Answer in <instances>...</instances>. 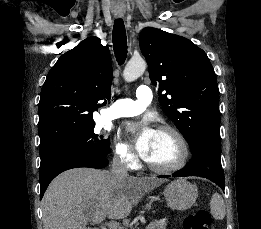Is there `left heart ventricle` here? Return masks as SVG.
Instances as JSON below:
<instances>
[{
	"label": "left heart ventricle",
	"instance_id": "left-heart-ventricle-1",
	"mask_svg": "<svg viewBox=\"0 0 261 229\" xmlns=\"http://www.w3.org/2000/svg\"><path fill=\"white\" fill-rule=\"evenodd\" d=\"M179 154L173 137L168 133L157 132L146 159L155 165H169Z\"/></svg>",
	"mask_w": 261,
	"mask_h": 229
}]
</instances>
